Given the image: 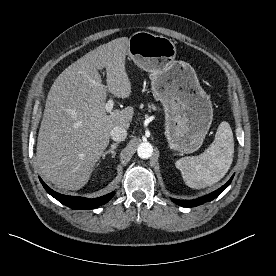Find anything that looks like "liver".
Segmentation results:
<instances>
[{
    "mask_svg": "<svg viewBox=\"0 0 276 276\" xmlns=\"http://www.w3.org/2000/svg\"><path fill=\"white\" fill-rule=\"evenodd\" d=\"M129 38L98 46L68 66L52 84L37 140L41 174L58 188L79 190L90 179L116 126L128 129L134 110H105L107 92L131 95L125 70ZM106 69L107 85L98 69Z\"/></svg>",
    "mask_w": 276,
    "mask_h": 276,
    "instance_id": "obj_1",
    "label": "liver"
}]
</instances>
